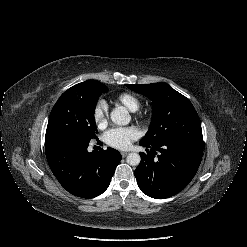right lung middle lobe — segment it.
I'll return each instance as SVG.
<instances>
[{
	"label": "right lung middle lobe",
	"mask_w": 247,
	"mask_h": 247,
	"mask_svg": "<svg viewBox=\"0 0 247 247\" xmlns=\"http://www.w3.org/2000/svg\"><path fill=\"white\" fill-rule=\"evenodd\" d=\"M107 90L99 81L89 87L73 86L66 90L51 111L45 139L60 136L96 139L94 110L99 96Z\"/></svg>",
	"instance_id": "1"
}]
</instances>
